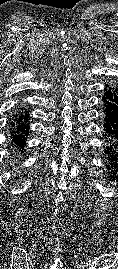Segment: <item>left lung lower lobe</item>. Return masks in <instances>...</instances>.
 I'll list each match as a JSON object with an SVG mask.
<instances>
[{
	"label": "left lung lower lobe",
	"instance_id": "0a47b994",
	"mask_svg": "<svg viewBox=\"0 0 118 269\" xmlns=\"http://www.w3.org/2000/svg\"><path fill=\"white\" fill-rule=\"evenodd\" d=\"M106 88L103 95V112L105 114V154L108 155L111 168L118 167V89ZM109 168V165H108Z\"/></svg>",
	"mask_w": 118,
	"mask_h": 269
}]
</instances>
